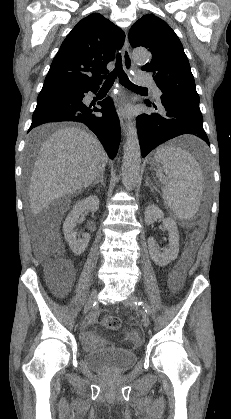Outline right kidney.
<instances>
[{"label":"right kidney","instance_id":"1","mask_svg":"<svg viewBox=\"0 0 231 419\" xmlns=\"http://www.w3.org/2000/svg\"><path fill=\"white\" fill-rule=\"evenodd\" d=\"M99 203V198L96 195H91L83 200H79L64 221L63 232L65 239L76 255H81L85 251L90 240V235L88 233H83L82 238L77 239L76 232L74 231L76 222L83 212H96L99 209Z\"/></svg>","mask_w":231,"mask_h":419}]
</instances>
